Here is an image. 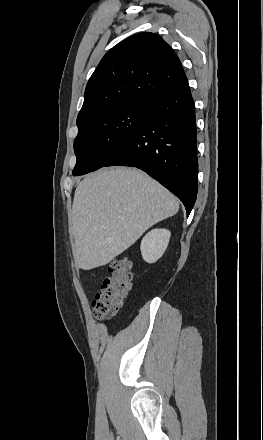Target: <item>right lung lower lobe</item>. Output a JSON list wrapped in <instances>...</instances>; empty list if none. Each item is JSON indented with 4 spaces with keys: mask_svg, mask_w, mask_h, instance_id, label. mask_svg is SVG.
Wrapping results in <instances>:
<instances>
[{
    "mask_svg": "<svg viewBox=\"0 0 263 440\" xmlns=\"http://www.w3.org/2000/svg\"><path fill=\"white\" fill-rule=\"evenodd\" d=\"M196 137L195 105L186 81L149 103L147 117L104 166L145 171L182 201L188 216L198 190Z\"/></svg>",
    "mask_w": 263,
    "mask_h": 440,
    "instance_id": "right-lung-lower-lobe-1",
    "label": "right lung lower lobe"
}]
</instances>
